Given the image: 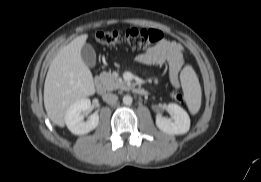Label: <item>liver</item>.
Instances as JSON below:
<instances>
[{
    "mask_svg": "<svg viewBox=\"0 0 261 182\" xmlns=\"http://www.w3.org/2000/svg\"><path fill=\"white\" fill-rule=\"evenodd\" d=\"M88 38L82 34L63 47L52 60L44 84V106L51 121L63 127L67 109L95 93L93 76L82 59Z\"/></svg>",
    "mask_w": 261,
    "mask_h": 182,
    "instance_id": "liver-1",
    "label": "liver"
}]
</instances>
